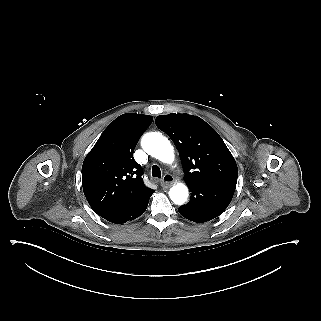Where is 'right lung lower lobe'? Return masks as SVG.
<instances>
[{
    "mask_svg": "<svg viewBox=\"0 0 321 321\" xmlns=\"http://www.w3.org/2000/svg\"><path fill=\"white\" fill-rule=\"evenodd\" d=\"M153 192L154 190H151L137 201L119 210L104 214L101 217L115 224H122L127 221L133 220L145 212L149 202V198L153 194Z\"/></svg>",
    "mask_w": 321,
    "mask_h": 321,
    "instance_id": "right-lung-lower-lobe-1",
    "label": "right lung lower lobe"
}]
</instances>
